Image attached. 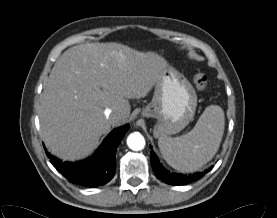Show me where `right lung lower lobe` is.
<instances>
[{
	"label": "right lung lower lobe",
	"instance_id": "98d812e1",
	"mask_svg": "<svg viewBox=\"0 0 277 218\" xmlns=\"http://www.w3.org/2000/svg\"><path fill=\"white\" fill-rule=\"evenodd\" d=\"M129 125L114 129L103 141L98 151L89 159L79 162H61L47 152L51 163L70 182L97 187L109 182L116 170V147L127 132Z\"/></svg>",
	"mask_w": 277,
	"mask_h": 218
}]
</instances>
